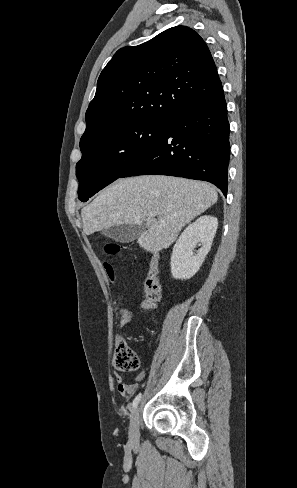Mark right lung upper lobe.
Masks as SVG:
<instances>
[{
  "instance_id": "obj_1",
  "label": "right lung upper lobe",
  "mask_w": 297,
  "mask_h": 488,
  "mask_svg": "<svg viewBox=\"0 0 297 488\" xmlns=\"http://www.w3.org/2000/svg\"><path fill=\"white\" fill-rule=\"evenodd\" d=\"M221 87L206 43L191 28L172 27L146 43L121 48L99 76L80 149L136 122L170 120Z\"/></svg>"
}]
</instances>
